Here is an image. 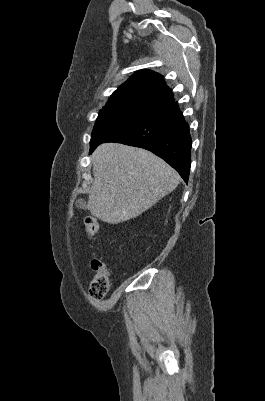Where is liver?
I'll use <instances>...</instances> for the list:
<instances>
[{
    "label": "liver",
    "instance_id": "1",
    "mask_svg": "<svg viewBox=\"0 0 265 401\" xmlns=\"http://www.w3.org/2000/svg\"><path fill=\"white\" fill-rule=\"evenodd\" d=\"M94 172L87 209L104 223H123L151 209L172 192L180 176L144 148L105 142L91 156Z\"/></svg>",
    "mask_w": 265,
    "mask_h": 401
}]
</instances>
